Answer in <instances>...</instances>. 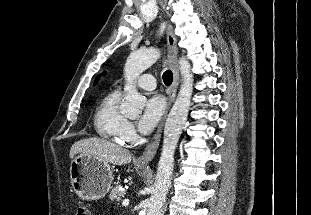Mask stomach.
<instances>
[{
	"label": "stomach",
	"mask_w": 311,
	"mask_h": 215,
	"mask_svg": "<svg viewBox=\"0 0 311 215\" xmlns=\"http://www.w3.org/2000/svg\"><path fill=\"white\" fill-rule=\"evenodd\" d=\"M71 185L82 200H98L111 189L113 174L109 163L78 155L70 164Z\"/></svg>",
	"instance_id": "stomach-1"
}]
</instances>
